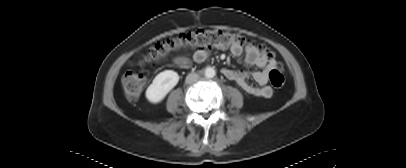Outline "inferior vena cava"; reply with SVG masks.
<instances>
[{
  "label": "inferior vena cava",
  "instance_id": "obj_1",
  "mask_svg": "<svg viewBox=\"0 0 406 168\" xmlns=\"http://www.w3.org/2000/svg\"><path fill=\"white\" fill-rule=\"evenodd\" d=\"M199 79V75L197 73H190L187 75L185 82L187 84H192Z\"/></svg>",
  "mask_w": 406,
  "mask_h": 168
}]
</instances>
